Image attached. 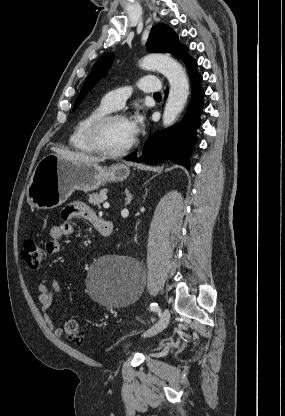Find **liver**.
<instances>
[{
	"label": "liver",
	"mask_w": 285,
	"mask_h": 416,
	"mask_svg": "<svg viewBox=\"0 0 285 416\" xmlns=\"http://www.w3.org/2000/svg\"><path fill=\"white\" fill-rule=\"evenodd\" d=\"M56 152L60 158L64 160H72V162H86V164H97V162H104V158H96V156H89L85 152H69V150H60V148H51Z\"/></svg>",
	"instance_id": "6515ba94"
}]
</instances>
